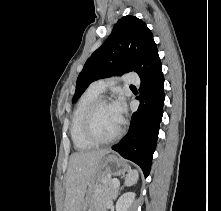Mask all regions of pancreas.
I'll return each mask as SVG.
<instances>
[{"instance_id": "obj_1", "label": "pancreas", "mask_w": 221, "mask_h": 211, "mask_svg": "<svg viewBox=\"0 0 221 211\" xmlns=\"http://www.w3.org/2000/svg\"><path fill=\"white\" fill-rule=\"evenodd\" d=\"M101 183L93 190L94 211H106L107 206L116 198L118 193V189L113 185L111 179H104Z\"/></svg>"}]
</instances>
